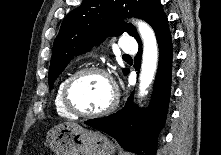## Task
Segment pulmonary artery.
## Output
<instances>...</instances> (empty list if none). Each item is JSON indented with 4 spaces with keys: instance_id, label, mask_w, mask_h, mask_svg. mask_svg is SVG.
<instances>
[{
    "instance_id": "obj_1",
    "label": "pulmonary artery",
    "mask_w": 221,
    "mask_h": 155,
    "mask_svg": "<svg viewBox=\"0 0 221 155\" xmlns=\"http://www.w3.org/2000/svg\"><path fill=\"white\" fill-rule=\"evenodd\" d=\"M120 48L125 53L133 54L137 50V44L133 38L126 36L122 38Z\"/></svg>"
}]
</instances>
